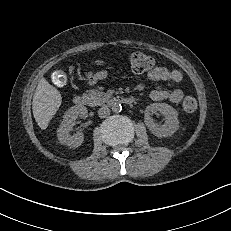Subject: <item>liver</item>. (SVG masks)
<instances>
[{"mask_svg":"<svg viewBox=\"0 0 231 231\" xmlns=\"http://www.w3.org/2000/svg\"><path fill=\"white\" fill-rule=\"evenodd\" d=\"M62 102L60 92L42 78L35 90L32 110L35 121L41 129H46Z\"/></svg>","mask_w":231,"mask_h":231,"instance_id":"obj_1","label":"liver"}]
</instances>
